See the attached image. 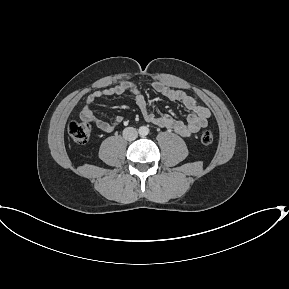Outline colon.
Returning a JSON list of instances; mask_svg holds the SVG:
<instances>
[{
	"instance_id": "1",
	"label": "colon",
	"mask_w": 289,
	"mask_h": 289,
	"mask_svg": "<svg viewBox=\"0 0 289 289\" xmlns=\"http://www.w3.org/2000/svg\"><path fill=\"white\" fill-rule=\"evenodd\" d=\"M91 127L86 120H71L68 124V133L78 144H85L90 136ZM200 141L208 145L213 141V133L205 130L201 133Z\"/></svg>"
}]
</instances>
